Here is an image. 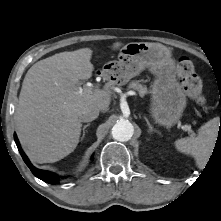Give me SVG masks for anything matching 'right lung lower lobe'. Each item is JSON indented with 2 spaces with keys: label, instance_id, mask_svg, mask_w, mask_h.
<instances>
[{
  "label": "right lung lower lobe",
  "instance_id": "right-lung-lower-lobe-1",
  "mask_svg": "<svg viewBox=\"0 0 221 221\" xmlns=\"http://www.w3.org/2000/svg\"><path fill=\"white\" fill-rule=\"evenodd\" d=\"M14 140H15V143L18 147V150L24 160V162L26 163V165L30 168V170L32 171V173L38 177L39 179L47 182V183H50V184H56L59 182V179L60 177L52 172H48V171H43V170H40V169H37L35 168L31 163L30 161L28 160L27 156L25 155V153L22 151L21 147H20V144H19V141L17 139V136L16 134H14Z\"/></svg>",
  "mask_w": 221,
  "mask_h": 221
}]
</instances>
